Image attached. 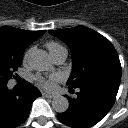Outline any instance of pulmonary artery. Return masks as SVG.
<instances>
[{"label":"pulmonary artery","instance_id":"pulmonary-artery-1","mask_svg":"<svg viewBox=\"0 0 128 128\" xmlns=\"http://www.w3.org/2000/svg\"><path fill=\"white\" fill-rule=\"evenodd\" d=\"M67 54V50L64 48L57 52L55 55H53L52 58L55 63L62 64L66 60Z\"/></svg>","mask_w":128,"mask_h":128}]
</instances>
